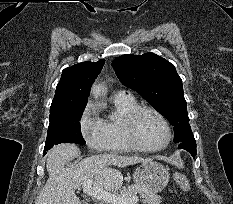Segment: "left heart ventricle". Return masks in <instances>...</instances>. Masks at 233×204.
<instances>
[{
  "instance_id": "b2bd125f",
  "label": "left heart ventricle",
  "mask_w": 233,
  "mask_h": 204,
  "mask_svg": "<svg viewBox=\"0 0 233 204\" xmlns=\"http://www.w3.org/2000/svg\"><path fill=\"white\" fill-rule=\"evenodd\" d=\"M136 134L141 145L155 148L162 145L166 139V130L157 116L143 112L136 121Z\"/></svg>"
}]
</instances>
